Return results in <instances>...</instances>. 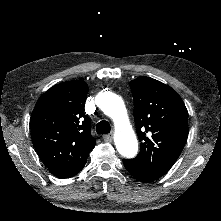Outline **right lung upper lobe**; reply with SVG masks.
<instances>
[{
  "mask_svg": "<svg viewBox=\"0 0 221 221\" xmlns=\"http://www.w3.org/2000/svg\"><path fill=\"white\" fill-rule=\"evenodd\" d=\"M88 85L81 80L57 84L37 101L31 137L40 159L58 178H70L86 164L95 146L91 120L84 114Z\"/></svg>",
  "mask_w": 221,
  "mask_h": 221,
  "instance_id": "cb5924a9",
  "label": "right lung upper lobe"
}]
</instances>
